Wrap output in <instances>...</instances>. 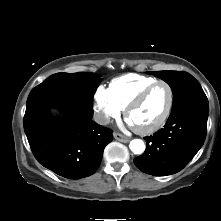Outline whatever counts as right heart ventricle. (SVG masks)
I'll return each instance as SVG.
<instances>
[{
	"label": "right heart ventricle",
	"instance_id": "right-heart-ventricle-1",
	"mask_svg": "<svg viewBox=\"0 0 221 221\" xmlns=\"http://www.w3.org/2000/svg\"><path fill=\"white\" fill-rule=\"evenodd\" d=\"M156 78L139 74H126L114 78L109 85L110 92L117 105L124 110L131 100H133L144 88Z\"/></svg>",
	"mask_w": 221,
	"mask_h": 221
}]
</instances>
